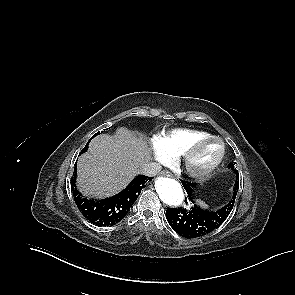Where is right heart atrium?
Instances as JSON below:
<instances>
[{
    "label": "right heart atrium",
    "mask_w": 295,
    "mask_h": 295,
    "mask_svg": "<svg viewBox=\"0 0 295 295\" xmlns=\"http://www.w3.org/2000/svg\"><path fill=\"white\" fill-rule=\"evenodd\" d=\"M152 148L154 157L159 163L165 164L171 162L172 158L161 148L157 138L153 139Z\"/></svg>",
    "instance_id": "1"
}]
</instances>
